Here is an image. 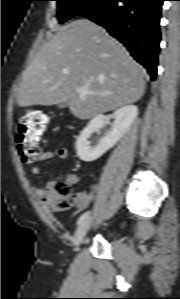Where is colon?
<instances>
[{
  "label": "colon",
  "instance_id": "obj_1",
  "mask_svg": "<svg viewBox=\"0 0 180 299\" xmlns=\"http://www.w3.org/2000/svg\"><path fill=\"white\" fill-rule=\"evenodd\" d=\"M48 124V115L41 109L27 108L19 118L16 145L21 159L32 163L40 153L38 140ZM74 202L69 184L55 183L50 189L48 205L52 210L62 211L70 208Z\"/></svg>",
  "mask_w": 180,
  "mask_h": 299
}]
</instances>
